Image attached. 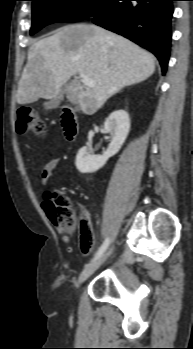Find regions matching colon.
<instances>
[{"label":"colon","instance_id":"5ec220e1","mask_svg":"<svg viewBox=\"0 0 193 349\" xmlns=\"http://www.w3.org/2000/svg\"><path fill=\"white\" fill-rule=\"evenodd\" d=\"M16 130L20 135H35L44 138L46 126L40 114L32 107L23 106L17 110ZM44 209L49 217L64 231L77 226L73 204L61 193H54L44 201Z\"/></svg>","mask_w":193,"mask_h":349}]
</instances>
